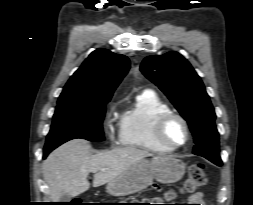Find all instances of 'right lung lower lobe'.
<instances>
[{"label":"right lung lower lobe","instance_id":"1","mask_svg":"<svg viewBox=\"0 0 253 205\" xmlns=\"http://www.w3.org/2000/svg\"><path fill=\"white\" fill-rule=\"evenodd\" d=\"M53 149H50V150H44V153H43V158H46L47 155L52 151Z\"/></svg>","mask_w":253,"mask_h":205}]
</instances>
